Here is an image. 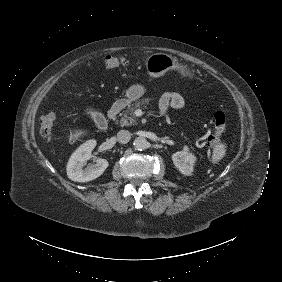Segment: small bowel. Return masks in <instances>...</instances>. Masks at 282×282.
<instances>
[{
    "label": "small bowel",
    "mask_w": 282,
    "mask_h": 282,
    "mask_svg": "<svg viewBox=\"0 0 282 282\" xmlns=\"http://www.w3.org/2000/svg\"><path fill=\"white\" fill-rule=\"evenodd\" d=\"M185 105L184 97L177 92H166L164 93L158 104L159 114L161 116L166 115L169 107L174 109H181Z\"/></svg>",
    "instance_id": "1"
}]
</instances>
